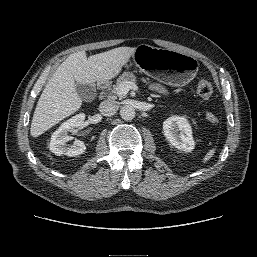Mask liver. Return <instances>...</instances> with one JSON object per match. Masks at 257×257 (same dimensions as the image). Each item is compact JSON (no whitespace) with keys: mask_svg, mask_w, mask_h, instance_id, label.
<instances>
[{"mask_svg":"<svg viewBox=\"0 0 257 257\" xmlns=\"http://www.w3.org/2000/svg\"><path fill=\"white\" fill-rule=\"evenodd\" d=\"M135 50L118 47L89 58L85 51L68 56L47 82L38 100L31 122V136H40L81 107L76 83L93 85L116 77Z\"/></svg>","mask_w":257,"mask_h":257,"instance_id":"liver-1","label":"liver"}]
</instances>
